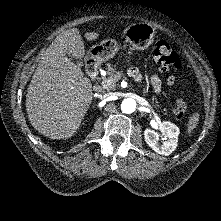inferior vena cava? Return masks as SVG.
I'll use <instances>...</instances> for the list:
<instances>
[{
    "mask_svg": "<svg viewBox=\"0 0 221 221\" xmlns=\"http://www.w3.org/2000/svg\"><path fill=\"white\" fill-rule=\"evenodd\" d=\"M107 96H108V95H107V94H105V95H104V98H105V97H107Z\"/></svg>",
    "mask_w": 221,
    "mask_h": 221,
    "instance_id": "1",
    "label": "inferior vena cava"
}]
</instances>
